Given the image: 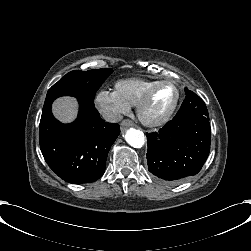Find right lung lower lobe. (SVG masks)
Returning a JSON list of instances; mask_svg holds the SVG:
<instances>
[{"instance_id":"98d812e1","label":"right lung lower lobe","mask_w":251,"mask_h":251,"mask_svg":"<svg viewBox=\"0 0 251 251\" xmlns=\"http://www.w3.org/2000/svg\"><path fill=\"white\" fill-rule=\"evenodd\" d=\"M78 102V117L70 124L56 120L51 107L43 110L39 139L51 170L66 182L84 184L95 182L104 174L108 151L120 127L102 120L94 104Z\"/></svg>"}]
</instances>
